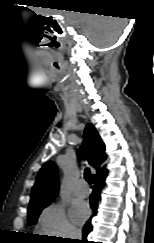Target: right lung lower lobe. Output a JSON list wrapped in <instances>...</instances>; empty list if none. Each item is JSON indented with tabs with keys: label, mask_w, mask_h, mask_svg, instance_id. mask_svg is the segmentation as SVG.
<instances>
[{
	"label": "right lung lower lobe",
	"mask_w": 154,
	"mask_h": 243,
	"mask_svg": "<svg viewBox=\"0 0 154 243\" xmlns=\"http://www.w3.org/2000/svg\"><path fill=\"white\" fill-rule=\"evenodd\" d=\"M106 176H107V171H105V172H103L99 175H96L94 177L93 193L90 196V206H91V208L94 212L97 211L98 201L100 199V191L105 185ZM91 230H92L91 220H88L86 222L84 228H83L84 240H82V241L77 240V241H61V242H58L57 239H52L50 242L51 243H88V241L86 240V237Z\"/></svg>",
	"instance_id": "98d812e1"
}]
</instances>
